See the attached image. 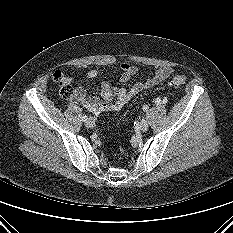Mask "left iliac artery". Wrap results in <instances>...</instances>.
<instances>
[{
  "label": "left iliac artery",
  "instance_id": "obj_1",
  "mask_svg": "<svg viewBox=\"0 0 233 233\" xmlns=\"http://www.w3.org/2000/svg\"><path fill=\"white\" fill-rule=\"evenodd\" d=\"M157 102L159 103L160 100H159V101L157 100ZM165 102H166V99H163V103H165ZM143 110H144V111H147V110H148V106H147V105H144V106H143Z\"/></svg>",
  "mask_w": 233,
  "mask_h": 233
}]
</instances>
